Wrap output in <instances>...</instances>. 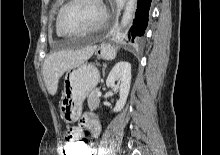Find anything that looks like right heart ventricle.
<instances>
[{
    "mask_svg": "<svg viewBox=\"0 0 220 155\" xmlns=\"http://www.w3.org/2000/svg\"><path fill=\"white\" fill-rule=\"evenodd\" d=\"M56 33H57L58 35H62V34H60V33L57 31V29H56Z\"/></svg>",
    "mask_w": 220,
    "mask_h": 155,
    "instance_id": "e07e8e85",
    "label": "right heart ventricle"
}]
</instances>
